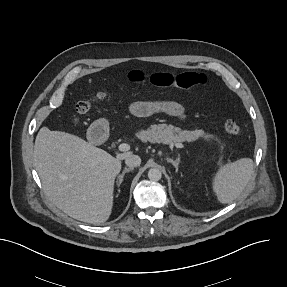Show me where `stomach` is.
<instances>
[{
    "instance_id": "stomach-1",
    "label": "stomach",
    "mask_w": 287,
    "mask_h": 287,
    "mask_svg": "<svg viewBox=\"0 0 287 287\" xmlns=\"http://www.w3.org/2000/svg\"><path fill=\"white\" fill-rule=\"evenodd\" d=\"M93 128H101V129L107 130L108 122L105 119H99L93 124Z\"/></svg>"
}]
</instances>
